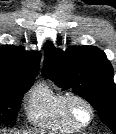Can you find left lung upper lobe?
<instances>
[{"instance_id": "1", "label": "left lung upper lobe", "mask_w": 116, "mask_h": 134, "mask_svg": "<svg viewBox=\"0 0 116 134\" xmlns=\"http://www.w3.org/2000/svg\"><path fill=\"white\" fill-rule=\"evenodd\" d=\"M42 75L86 99L98 111L100 120L116 134V84L113 68L102 50L74 46L62 51L48 43Z\"/></svg>"}]
</instances>
